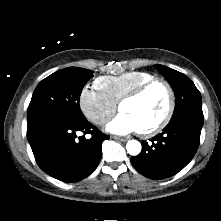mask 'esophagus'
<instances>
[{
	"mask_svg": "<svg viewBox=\"0 0 221 221\" xmlns=\"http://www.w3.org/2000/svg\"><path fill=\"white\" fill-rule=\"evenodd\" d=\"M113 139H115L116 141H120V142H126L128 139L127 138H120V137H113Z\"/></svg>",
	"mask_w": 221,
	"mask_h": 221,
	"instance_id": "obj_1",
	"label": "esophagus"
}]
</instances>
